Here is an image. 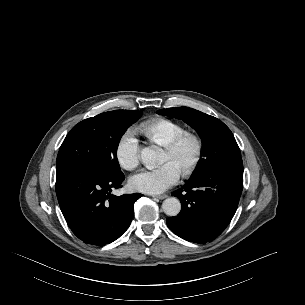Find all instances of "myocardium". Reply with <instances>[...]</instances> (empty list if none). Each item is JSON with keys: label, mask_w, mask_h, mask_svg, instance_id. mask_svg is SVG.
I'll list each match as a JSON object with an SVG mask.
<instances>
[{"label": "myocardium", "mask_w": 305, "mask_h": 305, "mask_svg": "<svg viewBox=\"0 0 305 305\" xmlns=\"http://www.w3.org/2000/svg\"><path fill=\"white\" fill-rule=\"evenodd\" d=\"M186 141H191L195 147V155L190 165L182 171L184 176L191 175L200 165L203 158V142L196 133L185 131L165 145V150L176 152Z\"/></svg>", "instance_id": "f54148a6"}]
</instances>
